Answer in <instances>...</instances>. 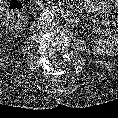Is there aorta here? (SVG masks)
I'll return each instance as SVG.
<instances>
[{
	"instance_id": "1",
	"label": "aorta",
	"mask_w": 118,
	"mask_h": 118,
	"mask_svg": "<svg viewBox=\"0 0 118 118\" xmlns=\"http://www.w3.org/2000/svg\"><path fill=\"white\" fill-rule=\"evenodd\" d=\"M40 19L45 24L51 23L54 19V14L51 11H44L40 16Z\"/></svg>"
}]
</instances>
